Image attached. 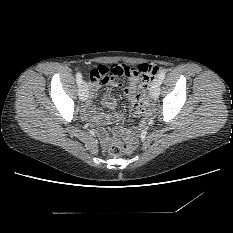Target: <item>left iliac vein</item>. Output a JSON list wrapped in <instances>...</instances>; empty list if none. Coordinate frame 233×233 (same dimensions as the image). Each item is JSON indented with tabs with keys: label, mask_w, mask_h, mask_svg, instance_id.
<instances>
[{
	"label": "left iliac vein",
	"mask_w": 233,
	"mask_h": 233,
	"mask_svg": "<svg viewBox=\"0 0 233 233\" xmlns=\"http://www.w3.org/2000/svg\"><path fill=\"white\" fill-rule=\"evenodd\" d=\"M160 85L161 82L159 81V79H156L150 89V95L152 99H157L159 94H160Z\"/></svg>",
	"instance_id": "obj_1"
}]
</instances>
